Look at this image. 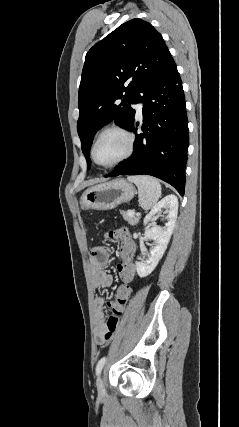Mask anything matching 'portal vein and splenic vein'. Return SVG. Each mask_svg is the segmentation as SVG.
<instances>
[{"label":"portal vein and splenic vein","instance_id":"1","mask_svg":"<svg viewBox=\"0 0 239 427\" xmlns=\"http://www.w3.org/2000/svg\"><path fill=\"white\" fill-rule=\"evenodd\" d=\"M134 214H135L134 211H131V210L128 211L129 216H133Z\"/></svg>","mask_w":239,"mask_h":427}]
</instances>
